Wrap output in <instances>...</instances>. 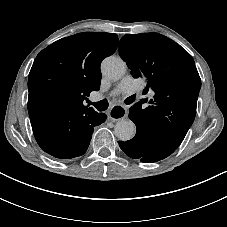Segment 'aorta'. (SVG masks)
Here are the masks:
<instances>
[{
	"mask_svg": "<svg viewBox=\"0 0 227 227\" xmlns=\"http://www.w3.org/2000/svg\"><path fill=\"white\" fill-rule=\"evenodd\" d=\"M127 65L120 58L116 56H109L105 58L101 64V72L103 76L118 80L126 73ZM115 135L122 141L132 139L136 133V126L131 120H119L115 125Z\"/></svg>",
	"mask_w": 227,
	"mask_h": 227,
	"instance_id": "obj_1",
	"label": "aorta"
}]
</instances>
